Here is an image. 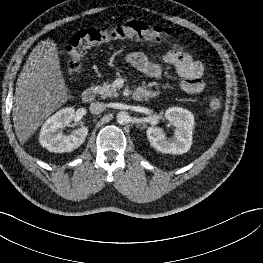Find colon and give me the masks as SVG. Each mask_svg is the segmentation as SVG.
Listing matches in <instances>:
<instances>
[{
    "mask_svg": "<svg viewBox=\"0 0 263 263\" xmlns=\"http://www.w3.org/2000/svg\"><path fill=\"white\" fill-rule=\"evenodd\" d=\"M170 28L151 27L142 22L132 21L111 28H90L73 35L67 46L68 68L77 71L85 54L92 48L116 39L132 38L170 42L175 36ZM222 106V96L212 94L207 101V112L215 115Z\"/></svg>",
    "mask_w": 263,
    "mask_h": 263,
    "instance_id": "colon-1",
    "label": "colon"
}]
</instances>
